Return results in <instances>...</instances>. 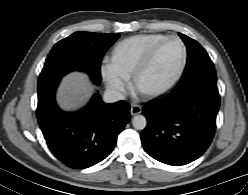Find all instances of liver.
<instances>
[{
  "mask_svg": "<svg viewBox=\"0 0 248 195\" xmlns=\"http://www.w3.org/2000/svg\"><path fill=\"white\" fill-rule=\"evenodd\" d=\"M93 86L88 76L82 72L66 75L57 92V101L64 110H75L84 105L91 97Z\"/></svg>",
  "mask_w": 248,
  "mask_h": 195,
  "instance_id": "1",
  "label": "liver"
}]
</instances>
